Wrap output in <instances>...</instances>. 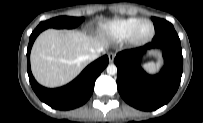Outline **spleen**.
Returning a JSON list of instances; mask_svg holds the SVG:
<instances>
[{
  "instance_id": "obj_1",
  "label": "spleen",
  "mask_w": 203,
  "mask_h": 123,
  "mask_svg": "<svg viewBox=\"0 0 203 123\" xmlns=\"http://www.w3.org/2000/svg\"><path fill=\"white\" fill-rule=\"evenodd\" d=\"M160 67V63L155 64L153 62L147 63L144 65V68L148 70L150 73L156 72Z\"/></svg>"
}]
</instances>
